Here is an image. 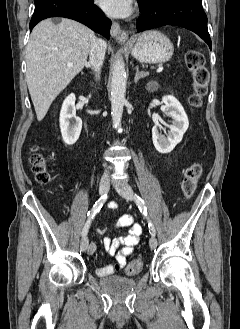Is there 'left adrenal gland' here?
Wrapping results in <instances>:
<instances>
[{
  "instance_id": "1",
  "label": "left adrenal gland",
  "mask_w": 240,
  "mask_h": 329,
  "mask_svg": "<svg viewBox=\"0 0 240 329\" xmlns=\"http://www.w3.org/2000/svg\"><path fill=\"white\" fill-rule=\"evenodd\" d=\"M135 70H136V74H135V78H134V83H137L140 78H143L148 75L147 72H139L138 66L135 67Z\"/></svg>"
}]
</instances>
